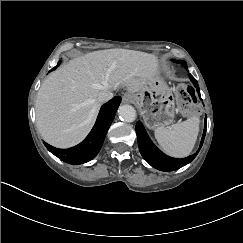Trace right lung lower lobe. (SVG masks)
I'll return each mask as SVG.
<instances>
[{
    "mask_svg": "<svg viewBox=\"0 0 243 243\" xmlns=\"http://www.w3.org/2000/svg\"><path fill=\"white\" fill-rule=\"evenodd\" d=\"M120 102L121 97L116 96L102 106L93 129L77 146L69 149H57L44 142L45 146L51 153L69 164L78 165L92 160L102 147Z\"/></svg>",
    "mask_w": 243,
    "mask_h": 243,
    "instance_id": "1",
    "label": "right lung lower lobe"
}]
</instances>
